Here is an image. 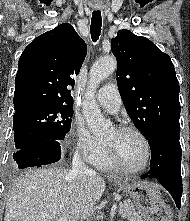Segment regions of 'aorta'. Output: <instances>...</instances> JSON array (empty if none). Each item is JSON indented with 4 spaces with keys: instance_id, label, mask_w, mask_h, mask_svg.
<instances>
[{
    "instance_id": "aorta-1",
    "label": "aorta",
    "mask_w": 190,
    "mask_h": 221,
    "mask_svg": "<svg viewBox=\"0 0 190 221\" xmlns=\"http://www.w3.org/2000/svg\"><path fill=\"white\" fill-rule=\"evenodd\" d=\"M116 68V60L113 57H107L98 60L90 69L89 87L86 101L83 105V114L89 129L95 135L106 133L111 126V123L101 114L100 108L94 99L95 91L98 85L113 73Z\"/></svg>"
}]
</instances>
